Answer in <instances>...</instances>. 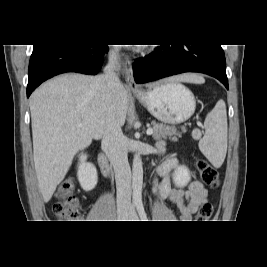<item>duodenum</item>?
Wrapping results in <instances>:
<instances>
[{"instance_id":"duodenum-1","label":"duodenum","mask_w":267,"mask_h":267,"mask_svg":"<svg viewBox=\"0 0 267 267\" xmlns=\"http://www.w3.org/2000/svg\"><path fill=\"white\" fill-rule=\"evenodd\" d=\"M97 160H98V164H99V166L101 168L102 173L105 176H109L112 173V167L109 164L108 159L106 158V156L102 152H100L98 154Z\"/></svg>"}]
</instances>
